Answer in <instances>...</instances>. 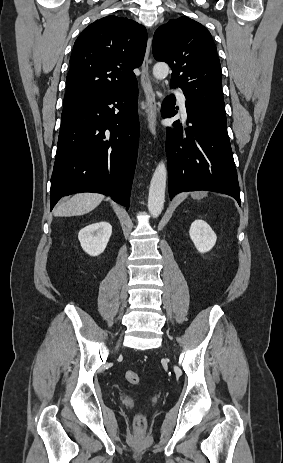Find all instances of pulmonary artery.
Instances as JSON below:
<instances>
[{"mask_svg":"<svg viewBox=\"0 0 283 463\" xmlns=\"http://www.w3.org/2000/svg\"><path fill=\"white\" fill-rule=\"evenodd\" d=\"M174 94L179 102L181 111L183 115L186 117V108H185V96L181 91L175 90Z\"/></svg>","mask_w":283,"mask_h":463,"instance_id":"1","label":"pulmonary artery"}]
</instances>
